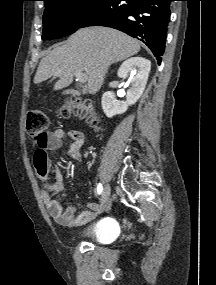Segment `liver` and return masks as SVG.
<instances>
[{
  "mask_svg": "<svg viewBox=\"0 0 216 285\" xmlns=\"http://www.w3.org/2000/svg\"><path fill=\"white\" fill-rule=\"evenodd\" d=\"M139 51V41L120 31L106 27L79 29L65 44L55 47L42 58L34 83L39 84L59 73L54 90H61L71 85L74 73L78 71L87 77L88 92L95 94L111 64Z\"/></svg>",
  "mask_w": 216,
  "mask_h": 285,
  "instance_id": "liver-1",
  "label": "liver"
}]
</instances>
